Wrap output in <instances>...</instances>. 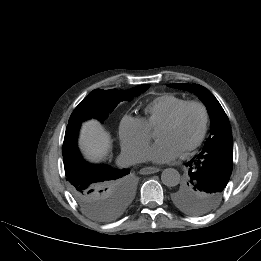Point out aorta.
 <instances>
[{
  "label": "aorta",
  "instance_id": "1",
  "mask_svg": "<svg viewBox=\"0 0 261 261\" xmlns=\"http://www.w3.org/2000/svg\"><path fill=\"white\" fill-rule=\"evenodd\" d=\"M161 181L168 187H174L180 182V174L174 168L164 169L161 174Z\"/></svg>",
  "mask_w": 261,
  "mask_h": 261
}]
</instances>
